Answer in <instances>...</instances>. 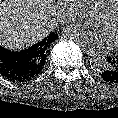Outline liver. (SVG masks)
<instances>
[{"mask_svg":"<svg viewBox=\"0 0 118 118\" xmlns=\"http://www.w3.org/2000/svg\"><path fill=\"white\" fill-rule=\"evenodd\" d=\"M54 0H5L0 5V45L11 50L27 48L55 28Z\"/></svg>","mask_w":118,"mask_h":118,"instance_id":"liver-1","label":"liver"}]
</instances>
